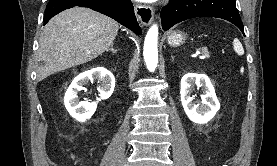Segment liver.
<instances>
[{
  "instance_id": "obj_1",
  "label": "liver",
  "mask_w": 277,
  "mask_h": 166,
  "mask_svg": "<svg viewBox=\"0 0 277 166\" xmlns=\"http://www.w3.org/2000/svg\"><path fill=\"white\" fill-rule=\"evenodd\" d=\"M118 23L84 7L67 9L53 17L39 39L37 79L87 63L113 45Z\"/></svg>"
}]
</instances>
